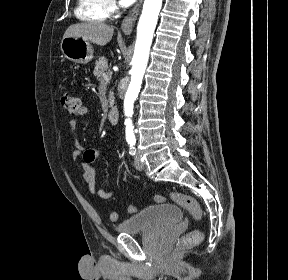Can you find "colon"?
I'll return each mask as SVG.
<instances>
[{
	"label": "colon",
	"instance_id": "obj_1",
	"mask_svg": "<svg viewBox=\"0 0 288 280\" xmlns=\"http://www.w3.org/2000/svg\"><path fill=\"white\" fill-rule=\"evenodd\" d=\"M61 104L71 116H79L82 105L80 99L77 96L66 92L61 96ZM154 200L156 203H176L177 205L187 209L197 222L201 221L203 218V210L201 205L197 200L190 196L183 195L181 193L159 194L154 197ZM136 211L137 207L135 205H129V213H134ZM109 218L111 221H116L118 219V213L116 211H111L109 214ZM202 238V232L198 229H194L183 238V243L185 245H194L199 243Z\"/></svg>",
	"mask_w": 288,
	"mask_h": 280
}]
</instances>
